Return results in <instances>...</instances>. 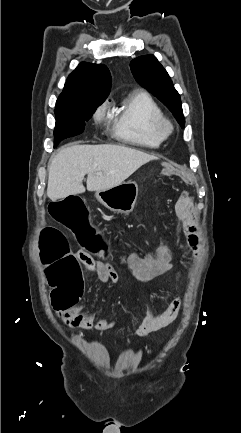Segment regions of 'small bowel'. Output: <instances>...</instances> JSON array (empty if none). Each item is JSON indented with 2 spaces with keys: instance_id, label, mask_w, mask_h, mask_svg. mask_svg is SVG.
Here are the masks:
<instances>
[{
  "instance_id": "small-bowel-1",
  "label": "small bowel",
  "mask_w": 241,
  "mask_h": 433,
  "mask_svg": "<svg viewBox=\"0 0 241 433\" xmlns=\"http://www.w3.org/2000/svg\"><path fill=\"white\" fill-rule=\"evenodd\" d=\"M176 214L182 222L183 231L187 238V244L194 258L200 252V241L197 227V217L194 205L190 196L184 192L176 202ZM79 261L90 271L96 274L102 283L116 284L118 274L114 267L106 262L93 261L89 254L81 250L78 252ZM143 270L152 275H160L171 267V256L169 249L162 251L158 248L155 253L148 255L140 261ZM181 302L179 298L173 299L166 309L158 314L148 310L136 331L132 334L137 337H144L171 324L177 317ZM60 319L70 328L83 331L103 332L108 329L123 326L122 321L97 318L94 313H89L83 308L75 306L72 312H57Z\"/></svg>"
}]
</instances>
